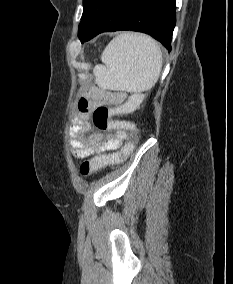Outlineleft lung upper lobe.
<instances>
[{"label":"left lung upper lobe","instance_id":"5c2ea615","mask_svg":"<svg viewBox=\"0 0 233 284\" xmlns=\"http://www.w3.org/2000/svg\"><path fill=\"white\" fill-rule=\"evenodd\" d=\"M105 0H83V14L78 28V36L81 39L91 28L97 10Z\"/></svg>","mask_w":233,"mask_h":284}]
</instances>
